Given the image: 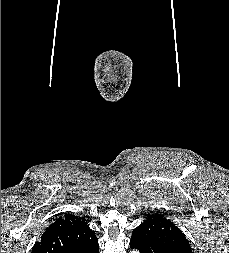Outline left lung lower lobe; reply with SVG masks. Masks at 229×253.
<instances>
[{"instance_id":"left-lung-lower-lobe-1","label":"left lung lower lobe","mask_w":229,"mask_h":253,"mask_svg":"<svg viewBox=\"0 0 229 253\" xmlns=\"http://www.w3.org/2000/svg\"><path fill=\"white\" fill-rule=\"evenodd\" d=\"M130 248L137 249V250H139L140 253H162V252H157V251H153V250H146V249L142 248L141 246H138L133 241H130Z\"/></svg>"}]
</instances>
